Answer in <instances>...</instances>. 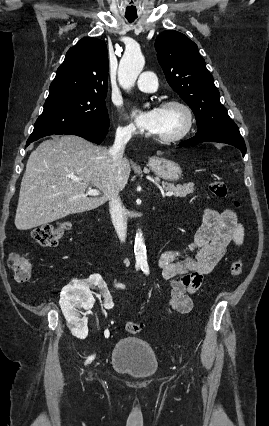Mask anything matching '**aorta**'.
I'll list each match as a JSON object with an SVG mask.
<instances>
[{"instance_id":"762f6f07","label":"aorta","mask_w":269,"mask_h":426,"mask_svg":"<svg viewBox=\"0 0 269 426\" xmlns=\"http://www.w3.org/2000/svg\"><path fill=\"white\" fill-rule=\"evenodd\" d=\"M144 65L145 59L140 50L126 51L118 69V81L120 85L126 90L131 89ZM134 253L137 265L146 264V246L140 230L135 236Z\"/></svg>"}]
</instances>
